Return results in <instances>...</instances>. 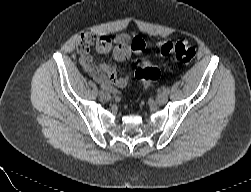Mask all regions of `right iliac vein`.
I'll use <instances>...</instances> for the list:
<instances>
[{"instance_id": "1", "label": "right iliac vein", "mask_w": 251, "mask_h": 192, "mask_svg": "<svg viewBox=\"0 0 251 192\" xmlns=\"http://www.w3.org/2000/svg\"><path fill=\"white\" fill-rule=\"evenodd\" d=\"M103 97V99L104 100H106V101H109V100H111V95L109 94V93H104V95L102 96Z\"/></svg>"}]
</instances>
